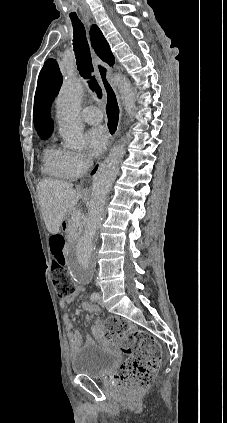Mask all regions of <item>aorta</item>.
<instances>
[{"instance_id": "1", "label": "aorta", "mask_w": 227, "mask_h": 423, "mask_svg": "<svg viewBox=\"0 0 227 423\" xmlns=\"http://www.w3.org/2000/svg\"><path fill=\"white\" fill-rule=\"evenodd\" d=\"M114 80L120 88L125 110L131 114L135 107L131 83L120 76H115ZM83 92L82 82L75 77H69L64 81L56 100L59 131L64 145L69 148L80 149L84 145L83 124L79 115ZM124 154L123 143L114 147L93 179L85 230L81 238L70 246L66 257L68 271L76 282H88L94 273L96 232L102 222L106 197L119 172Z\"/></svg>"}]
</instances>
